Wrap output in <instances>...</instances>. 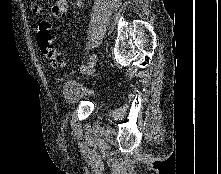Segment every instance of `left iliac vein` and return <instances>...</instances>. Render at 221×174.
I'll use <instances>...</instances> for the list:
<instances>
[{
	"mask_svg": "<svg viewBox=\"0 0 221 174\" xmlns=\"http://www.w3.org/2000/svg\"><path fill=\"white\" fill-rule=\"evenodd\" d=\"M98 60V57L95 53H93L90 58H89V61H88V71L91 72V70L93 69V67L96 65V62Z\"/></svg>",
	"mask_w": 221,
	"mask_h": 174,
	"instance_id": "1",
	"label": "left iliac vein"
}]
</instances>
